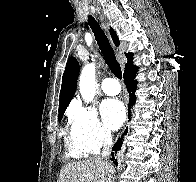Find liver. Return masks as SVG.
I'll list each match as a JSON object with an SVG mask.
<instances>
[{"label": "liver", "mask_w": 196, "mask_h": 182, "mask_svg": "<svg viewBox=\"0 0 196 182\" xmlns=\"http://www.w3.org/2000/svg\"><path fill=\"white\" fill-rule=\"evenodd\" d=\"M113 166L101 159H88L64 165L57 182H110Z\"/></svg>", "instance_id": "6515ba94"}]
</instances>
